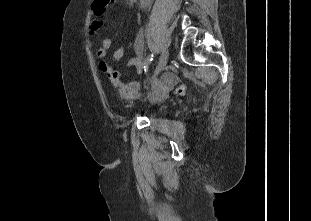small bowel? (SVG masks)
Wrapping results in <instances>:
<instances>
[{
	"mask_svg": "<svg viewBox=\"0 0 311 221\" xmlns=\"http://www.w3.org/2000/svg\"><path fill=\"white\" fill-rule=\"evenodd\" d=\"M130 2H134L135 0H129ZM99 46H112V40L110 38H105L101 41ZM134 48L136 51V56L131 58L127 62V67H133L135 69H139L142 61H143V51H144V36L142 32H139L134 43ZM125 54V45L121 44L113 53V60L120 61ZM108 53H97V57L99 59L98 67L99 70L104 73L111 81L115 82L116 78L119 79L120 72L114 68H112L106 58ZM115 84V83H114ZM162 86V83H158L155 85V90L159 89ZM119 90L121 97L126 101H131L139 96L140 89L142 88V83L139 81L132 82H124L122 80H118V84L116 86Z\"/></svg>",
	"mask_w": 311,
	"mask_h": 221,
	"instance_id": "small-bowel-1",
	"label": "small bowel"
}]
</instances>
